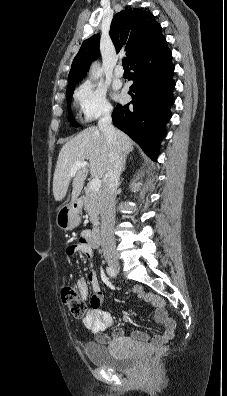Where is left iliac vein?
<instances>
[{"mask_svg": "<svg viewBox=\"0 0 227 396\" xmlns=\"http://www.w3.org/2000/svg\"><path fill=\"white\" fill-rule=\"evenodd\" d=\"M118 271H119V268L116 269V272H118Z\"/></svg>", "mask_w": 227, "mask_h": 396, "instance_id": "4c4485c4", "label": "left iliac vein"}]
</instances>
